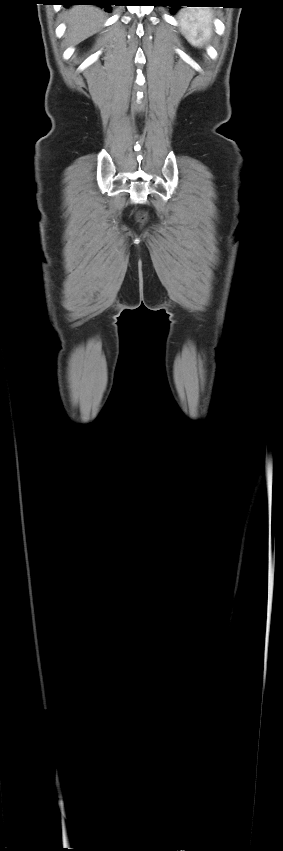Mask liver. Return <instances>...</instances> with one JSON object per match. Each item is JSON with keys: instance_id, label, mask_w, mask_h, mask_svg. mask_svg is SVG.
Segmentation results:
<instances>
[{"instance_id": "6515ba94", "label": "liver", "mask_w": 283, "mask_h": 851, "mask_svg": "<svg viewBox=\"0 0 283 851\" xmlns=\"http://www.w3.org/2000/svg\"><path fill=\"white\" fill-rule=\"evenodd\" d=\"M104 17V12L96 7H72L64 16V20L68 25L65 35L66 45H76L95 34L101 28Z\"/></svg>"}]
</instances>
